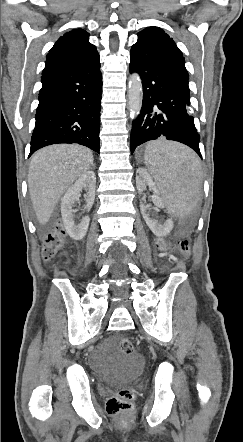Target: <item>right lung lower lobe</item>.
<instances>
[{
	"label": "right lung lower lobe",
	"mask_w": 243,
	"mask_h": 442,
	"mask_svg": "<svg viewBox=\"0 0 243 442\" xmlns=\"http://www.w3.org/2000/svg\"><path fill=\"white\" fill-rule=\"evenodd\" d=\"M41 82L29 156L57 143H78L99 152V54L43 71Z\"/></svg>",
	"instance_id": "1"
}]
</instances>
